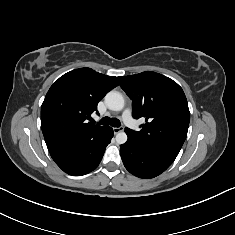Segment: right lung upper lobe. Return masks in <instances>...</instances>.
I'll return each instance as SVG.
<instances>
[{
  "label": "right lung upper lobe",
  "mask_w": 235,
  "mask_h": 235,
  "mask_svg": "<svg viewBox=\"0 0 235 235\" xmlns=\"http://www.w3.org/2000/svg\"><path fill=\"white\" fill-rule=\"evenodd\" d=\"M117 85L116 77L80 68L64 74L50 87L41 106V128L50 154L107 128L87 120L98 102Z\"/></svg>",
  "instance_id": "right-lung-upper-lobe-1"
}]
</instances>
